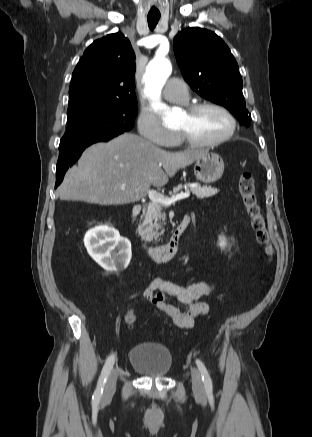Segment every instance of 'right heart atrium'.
<instances>
[{"label":"right heart atrium","instance_id":"right-heart-atrium-1","mask_svg":"<svg viewBox=\"0 0 312 437\" xmlns=\"http://www.w3.org/2000/svg\"><path fill=\"white\" fill-rule=\"evenodd\" d=\"M137 126L140 135L153 144L167 147L176 141L177 134L167 129L153 112L147 110L141 111L137 120Z\"/></svg>","mask_w":312,"mask_h":437}]
</instances>
